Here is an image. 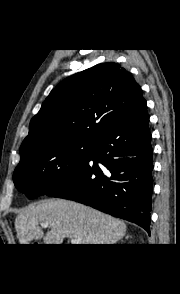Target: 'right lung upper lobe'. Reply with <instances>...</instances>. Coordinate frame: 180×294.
I'll return each mask as SVG.
<instances>
[{"label":"right lung upper lobe","mask_w":180,"mask_h":294,"mask_svg":"<svg viewBox=\"0 0 180 294\" xmlns=\"http://www.w3.org/2000/svg\"><path fill=\"white\" fill-rule=\"evenodd\" d=\"M133 76L116 63H102L59 83L32 118L20 162L45 147L94 142L145 102Z\"/></svg>","instance_id":"cb5924a9"}]
</instances>
